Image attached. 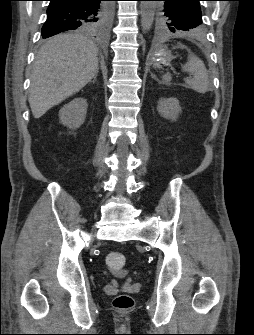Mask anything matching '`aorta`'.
Returning <instances> with one entry per match:
<instances>
[{"label": "aorta", "instance_id": "aorta-1", "mask_svg": "<svg viewBox=\"0 0 254 335\" xmlns=\"http://www.w3.org/2000/svg\"><path fill=\"white\" fill-rule=\"evenodd\" d=\"M140 9L141 27L142 31L146 33L152 26L156 4L153 1H142Z\"/></svg>", "mask_w": 254, "mask_h": 335}]
</instances>
